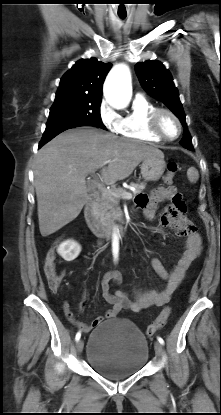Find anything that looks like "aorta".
Returning a JSON list of instances; mask_svg holds the SVG:
<instances>
[{
	"label": "aorta",
	"instance_id": "obj_1",
	"mask_svg": "<svg viewBox=\"0 0 221 415\" xmlns=\"http://www.w3.org/2000/svg\"><path fill=\"white\" fill-rule=\"evenodd\" d=\"M104 97L116 109L126 108L132 97L131 74L127 65L119 64L112 68L104 83ZM113 255L119 252V235L114 231L112 235Z\"/></svg>",
	"mask_w": 221,
	"mask_h": 415
}]
</instances>
